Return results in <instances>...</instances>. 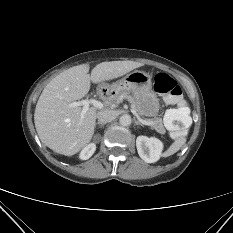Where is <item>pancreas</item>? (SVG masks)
I'll return each mask as SVG.
<instances>
[{
    "mask_svg": "<svg viewBox=\"0 0 233 233\" xmlns=\"http://www.w3.org/2000/svg\"><path fill=\"white\" fill-rule=\"evenodd\" d=\"M116 99L117 100L126 99L128 102L131 103L132 107L139 113V111L137 110V106H136L134 98L131 95H129L128 92L120 93V95ZM153 126L159 133H161V134L165 133V128H164L161 120L154 121Z\"/></svg>",
    "mask_w": 233,
    "mask_h": 233,
    "instance_id": "obj_1",
    "label": "pancreas"
}]
</instances>
